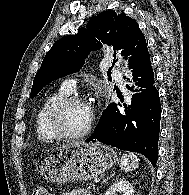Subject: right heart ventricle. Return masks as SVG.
Returning a JSON list of instances; mask_svg holds the SVG:
<instances>
[{
	"label": "right heart ventricle",
	"instance_id": "e07e8e85",
	"mask_svg": "<svg viewBox=\"0 0 189 195\" xmlns=\"http://www.w3.org/2000/svg\"><path fill=\"white\" fill-rule=\"evenodd\" d=\"M70 92L60 88L49 95L37 111L35 116V131L39 140L43 142H52L57 138L53 135L48 125V118L53 108L63 99L69 97Z\"/></svg>",
	"mask_w": 189,
	"mask_h": 195
}]
</instances>
